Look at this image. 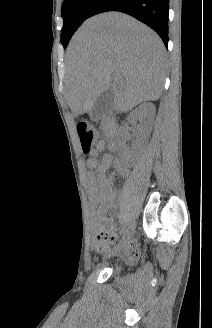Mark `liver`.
Instances as JSON below:
<instances>
[{
  "label": "liver",
  "instance_id": "liver-1",
  "mask_svg": "<svg viewBox=\"0 0 212 328\" xmlns=\"http://www.w3.org/2000/svg\"><path fill=\"white\" fill-rule=\"evenodd\" d=\"M164 65L165 47L152 29L122 13H102L86 20L69 44L65 97L77 117L111 88L115 109L126 112L159 99Z\"/></svg>",
  "mask_w": 212,
  "mask_h": 328
}]
</instances>
